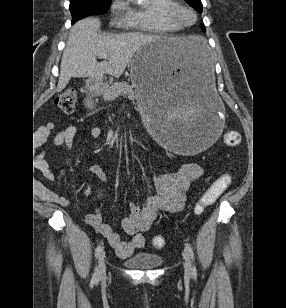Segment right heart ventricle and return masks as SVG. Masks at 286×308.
<instances>
[{
	"instance_id": "e07e8e85",
	"label": "right heart ventricle",
	"mask_w": 286,
	"mask_h": 308,
	"mask_svg": "<svg viewBox=\"0 0 286 308\" xmlns=\"http://www.w3.org/2000/svg\"><path fill=\"white\" fill-rule=\"evenodd\" d=\"M172 2L173 0H149L146 6L131 7L126 16V23L131 29L145 33L179 32L182 27L163 13V9Z\"/></svg>"
}]
</instances>
